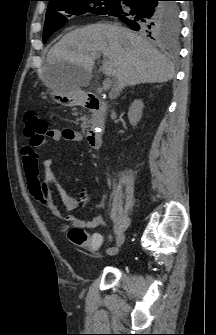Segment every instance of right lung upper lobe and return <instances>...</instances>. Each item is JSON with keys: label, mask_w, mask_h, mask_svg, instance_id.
Listing matches in <instances>:
<instances>
[{"label": "right lung upper lobe", "mask_w": 216, "mask_h": 335, "mask_svg": "<svg viewBox=\"0 0 216 335\" xmlns=\"http://www.w3.org/2000/svg\"><path fill=\"white\" fill-rule=\"evenodd\" d=\"M47 1H49V4H50L51 2H53V1H57V0H47Z\"/></svg>", "instance_id": "1"}]
</instances>
